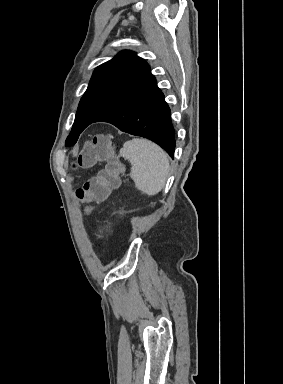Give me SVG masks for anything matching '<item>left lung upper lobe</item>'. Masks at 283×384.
<instances>
[{
  "mask_svg": "<svg viewBox=\"0 0 283 384\" xmlns=\"http://www.w3.org/2000/svg\"><path fill=\"white\" fill-rule=\"evenodd\" d=\"M150 76L149 65L132 51H122L98 66L81 98L66 146L74 145L93 120L117 105Z\"/></svg>",
  "mask_w": 283,
  "mask_h": 384,
  "instance_id": "obj_1",
  "label": "left lung upper lobe"
}]
</instances>
